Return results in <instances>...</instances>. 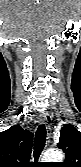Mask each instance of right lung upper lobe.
<instances>
[{"instance_id":"cb5924a9","label":"right lung upper lobe","mask_w":81,"mask_h":167,"mask_svg":"<svg viewBox=\"0 0 81 167\" xmlns=\"http://www.w3.org/2000/svg\"><path fill=\"white\" fill-rule=\"evenodd\" d=\"M33 134L19 125L0 133V167H30Z\"/></svg>"}]
</instances>
